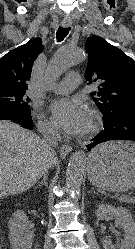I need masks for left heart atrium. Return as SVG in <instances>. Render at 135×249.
<instances>
[{
	"instance_id": "obj_1",
	"label": "left heart atrium",
	"mask_w": 135,
	"mask_h": 249,
	"mask_svg": "<svg viewBox=\"0 0 135 249\" xmlns=\"http://www.w3.org/2000/svg\"><path fill=\"white\" fill-rule=\"evenodd\" d=\"M50 111L56 124L68 134L77 135L85 131L89 114L82 100H56L51 104Z\"/></svg>"
}]
</instances>
